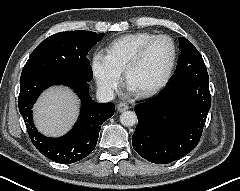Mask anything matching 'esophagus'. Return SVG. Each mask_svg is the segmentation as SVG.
I'll list each match as a JSON object with an SVG mask.
<instances>
[{"label":"esophagus","instance_id":"34e87169","mask_svg":"<svg viewBox=\"0 0 240 191\" xmlns=\"http://www.w3.org/2000/svg\"><path fill=\"white\" fill-rule=\"evenodd\" d=\"M127 109H129V106H128L126 103H120V104H118V106H117V110H118L119 112H123V111H125V110H127Z\"/></svg>","mask_w":240,"mask_h":191}]
</instances>
